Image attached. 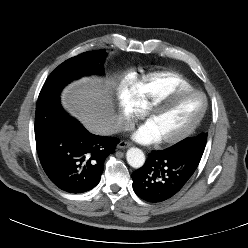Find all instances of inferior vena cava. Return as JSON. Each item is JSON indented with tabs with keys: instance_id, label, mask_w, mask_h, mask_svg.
<instances>
[{
	"instance_id": "602c4592",
	"label": "inferior vena cava",
	"mask_w": 248,
	"mask_h": 248,
	"mask_svg": "<svg viewBox=\"0 0 248 248\" xmlns=\"http://www.w3.org/2000/svg\"><path fill=\"white\" fill-rule=\"evenodd\" d=\"M132 126L124 117L115 116L112 128L107 132L108 135L113 133L131 130Z\"/></svg>"
}]
</instances>
